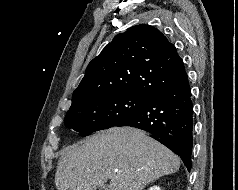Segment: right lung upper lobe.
<instances>
[{"instance_id":"cb5924a9","label":"right lung upper lobe","mask_w":238,"mask_h":190,"mask_svg":"<svg viewBox=\"0 0 238 190\" xmlns=\"http://www.w3.org/2000/svg\"><path fill=\"white\" fill-rule=\"evenodd\" d=\"M186 73L167 38L151 25H136L114 37L86 69L72 106L101 95L130 93L152 99Z\"/></svg>"}]
</instances>
